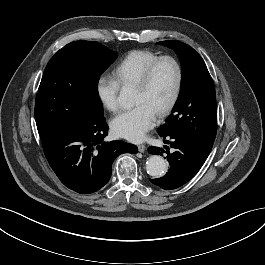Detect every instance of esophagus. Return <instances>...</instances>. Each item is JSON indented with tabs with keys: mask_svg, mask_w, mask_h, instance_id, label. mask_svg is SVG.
<instances>
[{
	"mask_svg": "<svg viewBox=\"0 0 265 265\" xmlns=\"http://www.w3.org/2000/svg\"><path fill=\"white\" fill-rule=\"evenodd\" d=\"M145 150H146V146L145 145H143V144L138 145V151L139 152L143 153V152H145Z\"/></svg>",
	"mask_w": 265,
	"mask_h": 265,
	"instance_id": "34e87169",
	"label": "esophagus"
}]
</instances>
